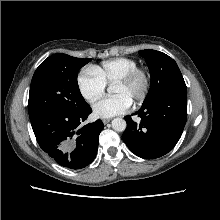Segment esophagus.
Instances as JSON below:
<instances>
[{
  "label": "esophagus",
  "instance_id": "1",
  "mask_svg": "<svg viewBox=\"0 0 220 220\" xmlns=\"http://www.w3.org/2000/svg\"><path fill=\"white\" fill-rule=\"evenodd\" d=\"M104 124H107L108 122H110V119H102Z\"/></svg>",
  "mask_w": 220,
  "mask_h": 220
}]
</instances>
